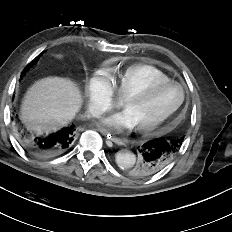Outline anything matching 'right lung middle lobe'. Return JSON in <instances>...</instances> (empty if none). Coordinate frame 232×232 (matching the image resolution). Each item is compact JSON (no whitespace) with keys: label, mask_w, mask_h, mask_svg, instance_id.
Here are the masks:
<instances>
[{"label":"right lung middle lobe","mask_w":232,"mask_h":232,"mask_svg":"<svg viewBox=\"0 0 232 232\" xmlns=\"http://www.w3.org/2000/svg\"><path fill=\"white\" fill-rule=\"evenodd\" d=\"M40 56H41V54L38 55V56H37V57L24 69V71H23L22 74H21V78L24 77V76H25V73H26L32 66H34V65L37 63V61L39 60Z\"/></svg>","instance_id":"dd1d6c3e"}]
</instances>
